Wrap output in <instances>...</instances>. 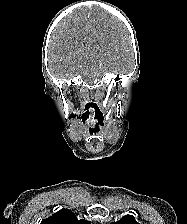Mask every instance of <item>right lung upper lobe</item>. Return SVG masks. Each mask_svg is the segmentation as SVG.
<instances>
[{"label":"right lung upper lobe","instance_id":"right-lung-upper-lobe-1","mask_svg":"<svg viewBox=\"0 0 187 224\" xmlns=\"http://www.w3.org/2000/svg\"><path fill=\"white\" fill-rule=\"evenodd\" d=\"M84 219L78 220L75 214L69 209H61L52 216L42 220L41 224H89Z\"/></svg>","mask_w":187,"mask_h":224}]
</instances>
